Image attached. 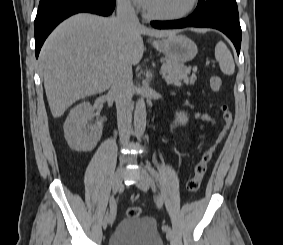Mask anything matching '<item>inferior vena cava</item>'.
<instances>
[{
	"label": "inferior vena cava",
	"mask_w": 283,
	"mask_h": 245,
	"mask_svg": "<svg viewBox=\"0 0 283 245\" xmlns=\"http://www.w3.org/2000/svg\"><path fill=\"white\" fill-rule=\"evenodd\" d=\"M117 18L124 24H139L130 0H117ZM132 89V66L130 64H121L113 75L109 93L115 99L118 131L122 145L127 144L131 134Z\"/></svg>",
	"instance_id": "obj_1"
}]
</instances>
